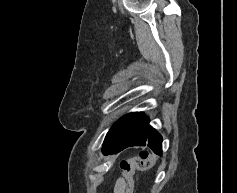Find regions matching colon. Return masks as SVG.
Returning <instances> with one entry per match:
<instances>
[{
    "label": "colon",
    "instance_id": "colon-1",
    "mask_svg": "<svg viewBox=\"0 0 237 193\" xmlns=\"http://www.w3.org/2000/svg\"><path fill=\"white\" fill-rule=\"evenodd\" d=\"M152 162L153 156L148 151H142L138 156L120 162V168L126 182V193H132L135 172L149 170Z\"/></svg>",
    "mask_w": 237,
    "mask_h": 193
}]
</instances>
